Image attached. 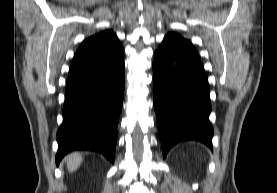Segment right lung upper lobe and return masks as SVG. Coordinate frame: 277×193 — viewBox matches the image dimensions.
<instances>
[{
  "label": "right lung upper lobe",
  "mask_w": 277,
  "mask_h": 193,
  "mask_svg": "<svg viewBox=\"0 0 277 193\" xmlns=\"http://www.w3.org/2000/svg\"><path fill=\"white\" fill-rule=\"evenodd\" d=\"M122 49L119 39L111 30L95 34L78 48L72 61L70 70L96 65Z\"/></svg>",
  "instance_id": "obj_1"
}]
</instances>
